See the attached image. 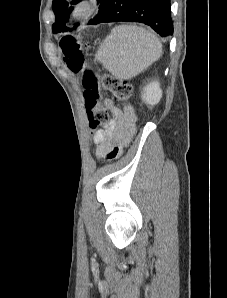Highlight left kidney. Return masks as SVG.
<instances>
[{
	"mask_svg": "<svg viewBox=\"0 0 227 298\" xmlns=\"http://www.w3.org/2000/svg\"><path fill=\"white\" fill-rule=\"evenodd\" d=\"M161 97L162 90L160 88V83L157 80L148 83L143 88L141 98L147 105H156L160 101Z\"/></svg>",
	"mask_w": 227,
	"mask_h": 298,
	"instance_id": "5707ae66",
	"label": "left kidney"
}]
</instances>
